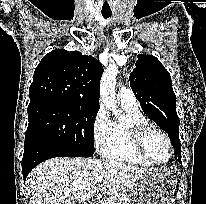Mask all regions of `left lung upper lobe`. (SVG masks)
<instances>
[{"label":"left lung upper lobe","instance_id":"1","mask_svg":"<svg viewBox=\"0 0 206 204\" xmlns=\"http://www.w3.org/2000/svg\"><path fill=\"white\" fill-rule=\"evenodd\" d=\"M129 80L144 113L168 133L175 156L180 155V122L169 72L157 58L143 54L138 55Z\"/></svg>","mask_w":206,"mask_h":204}]
</instances>
